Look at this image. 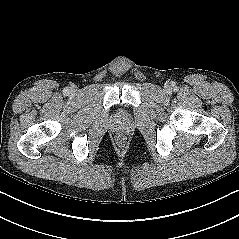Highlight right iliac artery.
I'll return each instance as SVG.
<instances>
[{"mask_svg":"<svg viewBox=\"0 0 239 239\" xmlns=\"http://www.w3.org/2000/svg\"><path fill=\"white\" fill-rule=\"evenodd\" d=\"M64 93H65V94H68V93H69V89H65V90H64Z\"/></svg>","mask_w":239,"mask_h":239,"instance_id":"1","label":"right iliac artery"}]
</instances>
